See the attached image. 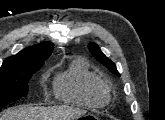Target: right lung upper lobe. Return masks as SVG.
I'll list each match as a JSON object with an SVG mask.
<instances>
[{"label":"right lung upper lobe","mask_w":165,"mask_h":120,"mask_svg":"<svg viewBox=\"0 0 165 120\" xmlns=\"http://www.w3.org/2000/svg\"><path fill=\"white\" fill-rule=\"evenodd\" d=\"M54 45L50 42L40 43L38 45L28 47L18 54L6 58L3 65H12L19 63H28L34 61H45L52 53Z\"/></svg>","instance_id":"obj_1"}]
</instances>
